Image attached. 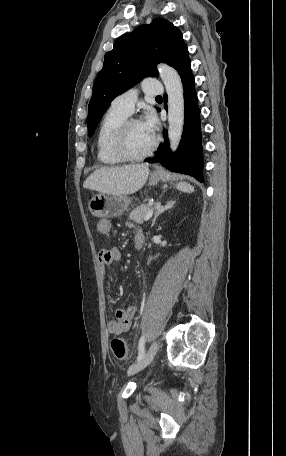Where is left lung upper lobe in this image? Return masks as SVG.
Here are the masks:
<instances>
[{
	"label": "left lung upper lobe",
	"instance_id": "1",
	"mask_svg": "<svg viewBox=\"0 0 286 456\" xmlns=\"http://www.w3.org/2000/svg\"><path fill=\"white\" fill-rule=\"evenodd\" d=\"M181 31L165 19L156 18L120 36L104 57L88 107L87 125L92 136L111 101L144 77L158 75L155 64L164 62L177 71L189 61Z\"/></svg>",
	"mask_w": 286,
	"mask_h": 456
}]
</instances>
